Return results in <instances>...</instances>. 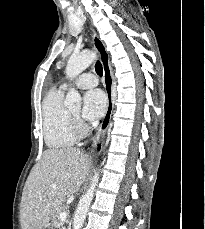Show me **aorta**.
<instances>
[{"instance_id": "aorta-1", "label": "aorta", "mask_w": 205, "mask_h": 229, "mask_svg": "<svg viewBox=\"0 0 205 229\" xmlns=\"http://www.w3.org/2000/svg\"><path fill=\"white\" fill-rule=\"evenodd\" d=\"M96 59V54L90 51H84L77 55H72L66 66V75L69 78L76 77L87 67H89ZM81 95L74 88L70 89L65 98V106L69 108H80L81 107ZM99 181V171H95L91 181V185L87 192L80 198L77 210L73 219V229H81L86 218L88 209L93 200L95 188Z\"/></svg>"}]
</instances>
